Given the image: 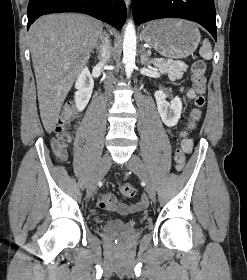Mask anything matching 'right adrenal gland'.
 <instances>
[{
	"instance_id": "obj_1",
	"label": "right adrenal gland",
	"mask_w": 247,
	"mask_h": 280,
	"mask_svg": "<svg viewBox=\"0 0 247 280\" xmlns=\"http://www.w3.org/2000/svg\"><path fill=\"white\" fill-rule=\"evenodd\" d=\"M95 47H96L97 51H99V48H100V47H98V46H95Z\"/></svg>"
}]
</instances>
